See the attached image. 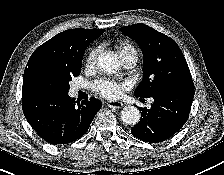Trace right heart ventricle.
<instances>
[{
  "label": "right heart ventricle",
  "mask_w": 224,
  "mask_h": 175,
  "mask_svg": "<svg viewBox=\"0 0 224 175\" xmlns=\"http://www.w3.org/2000/svg\"><path fill=\"white\" fill-rule=\"evenodd\" d=\"M116 48H117L118 55L120 57L127 53H131V52L136 53L134 46L126 41L119 42Z\"/></svg>",
  "instance_id": "right-heart-ventricle-1"
}]
</instances>
